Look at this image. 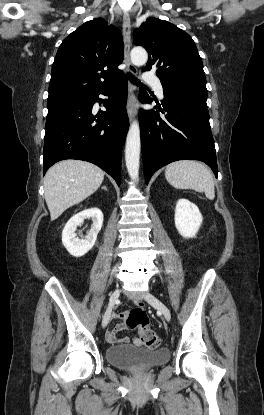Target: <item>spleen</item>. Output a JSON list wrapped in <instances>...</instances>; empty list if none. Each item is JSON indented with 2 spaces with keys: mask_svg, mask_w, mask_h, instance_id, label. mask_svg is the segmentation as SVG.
Masks as SVG:
<instances>
[{
  "mask_svg": "<svg viewBox=\"0 0 264 415\" xmlns=\"http://www.w3.org/2000/svg\"><path fill=\"white\" fill-rule=\"evenodd\" d=\"M167 181L177 189H192L203 192L213 200L215 197L214 180L209 169L197 161L182 160L167 165Z\"/></svg>",
  "mask_w": 264,
  "mask_h": 415,
  "instance_id": "1",
  "label": "spleen"
}]
</instances>
